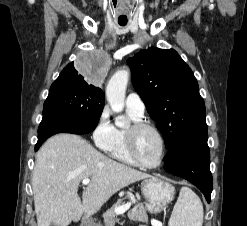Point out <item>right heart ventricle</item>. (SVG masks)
I'll use <instances>...</instances> for the list:
<instances>
[{
	"label": "right heart ventricle",
	"mask_w": 247,
	"mask_h": 226,
	"mask_svg": "<svg viewBox=\"0 0 247 226\" xmlns=\"http://www.w3.org/2000/svg\"><path fill=\"white\" fill-rule=\"evenodd\" d=\"M129 118L135 122L140 121L142 116L137 115L133 111L127 109ZM106 153L120 162L135 165L130 156L128 155L125 143V129L114 127V136L111 144L105 149Z\"/></svg>",
	"instance_id": "1"
}]
</instances>
